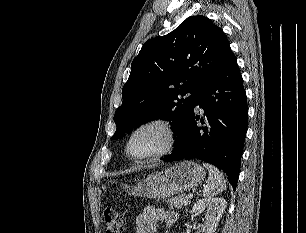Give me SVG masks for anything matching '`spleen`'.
<instances>
[{"mask_svg": "<svg viewBox=\"0 0 306 233\" xmlns=\"http://www.w3.org/2000/svg\"><path fill=\"white\" fill-rule=\"evenodd\" d=\"M203 166L209 171L208 180L203 188V196L211 198L226 189V181L218 168L208 163H203Z\"/></svg>", "mask_w": 306, "mask_h": 233, "instance_id": "obj_1", "label": "spleen"}]
</instances>
